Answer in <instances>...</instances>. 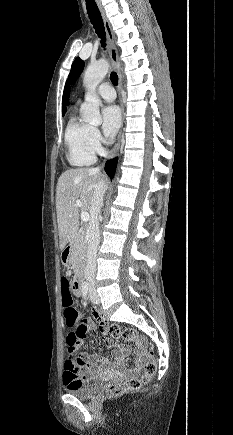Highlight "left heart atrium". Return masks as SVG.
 <instances>
[{
    "label": "left heart atrium",
    "mask_w": 233,
    "mask_h": 435,
    "mask_svg": "<svg viewBox=\"0 0 233 435\" xmlns=\"http://www.w3.org/2000/svg\"><path fill=\"white\" fill-rule=\"evenodd\" d=\"M121 123L120 111L117 106L110 105L102 110V129L105 136L112 139Z\"/></svg>",
    "instance_id": "39dd6f15"
}]
</instances>
